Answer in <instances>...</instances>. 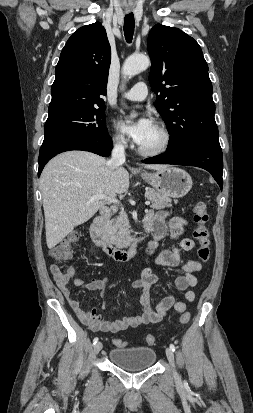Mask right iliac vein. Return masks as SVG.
<instances>
[{"instance_id": "obj_1", "label": "right iliac vein", "mask_w": 253, "mask_h": 413, "mask_svg": "<svg viewBox=\"0 0 253 413\" xmlns=\"http://www.w3.org/2000/svg\"><path fill=\"white\" fill-rule=\"evenodd\" d=\"M101 349H102V343L101 342H98L94 345V353L95 354H98Z\"/></svg>"}]
</instances>
